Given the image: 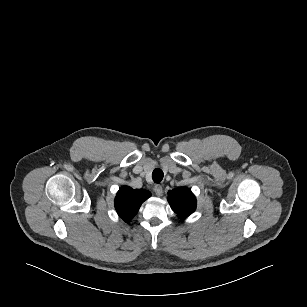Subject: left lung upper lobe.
<instances>
[{"mask_svg": "<svg viewBox=\"0 0 307 307\" xmlns=\"http://www.w3.org/2000/svg\"><path fill=\"white\" fill-rule=\"evenodd\" d=\"M168 202L177 216L184 220L196 209L194 194L185 187L173 189L168 192Z\"/></svg>", "mask_w": 307, "mask_h": 307, "instance_id": "5c2ea615", "label": "left lung upper lobe"}]
</instances>
